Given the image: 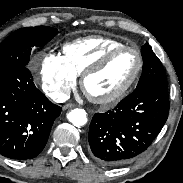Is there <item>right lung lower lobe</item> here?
I'll use <instances>...</instances> for the list:
<instances>
[{
  "label": "right lung lower lobe",
  "instance_id": "98d812e1",
  "mask_svg": "<svg viewBox=\"0 0 183 183\" xmlns=\"http://www.w3.org/2000/svg\"><path fill=\"white\" fill-rule=\"evenodd\" d=\"M61 107L38 90L27 67L0 71V154L36 157L45 147Z\"/></svg>",
  "mask_w": 183,
  "mask_h": 183
}]
</instances>
